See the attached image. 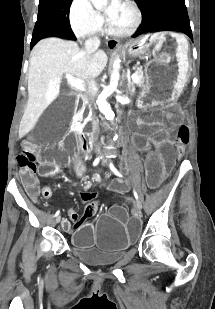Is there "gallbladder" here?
I'll return each instance as SVG.
<instances>
[{"label": "gallbladder", "instance_id": "1", "mask_svg": "<svg viewBox=\"0 0 215 309\" xmlns=\"http://www.w3.org/2000/svg\"><path fill=\"white\" fill-rule=\"evenodd\" d=\"M47 108L32 131L35 143L40 148H50L60 136H65L66 125H69L76 108V94L65 92L59 98H54L53 103H48Z\"/></svg>", "mask_w": 215, "mask_h": 309}]
</instances>
